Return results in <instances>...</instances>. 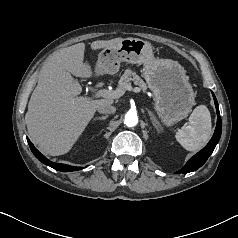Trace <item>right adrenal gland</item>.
I'll use <instances>...</instances> for the list:
<instances>
[{
  "mask_svg": "<svg viewBox=\"0 0 238 238\" xmlns=\"http://www.w3.org/2000/svg\"><path fill=\"white\" fill-rule=\"evenodd\" d=\"M108 118V115L95 117L94 120H105Z\"/></svg>",
  "mask_w": 238,
  "mask_h": 238,
  "instance_id": "2a0ac1e0",
  "label": "right adrenal gland"
}]
</instances>
